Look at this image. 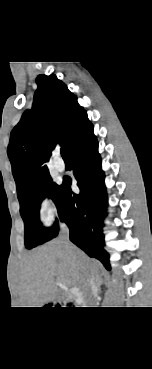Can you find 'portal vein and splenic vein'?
Returning a JSON list of instances; mask_svg holds the SVG:
<instances>
[{
  "instance_id": "18ae733b",
  "label": "portal vein and splenic vein",
  "mask_w": 152,
  "mask_h": 369,
  "mask_svg": "<svg viewBox=\"0 0 152 369\" xmlns=\"http://www.w3.org/2000/svg\"><path fill=\"white\" fill-rule=\"evenodd\" d=\"M56 284H57V285H60V284H61V282H60V281H58V282H56Z\"/></svg>"
}]
</instances>
